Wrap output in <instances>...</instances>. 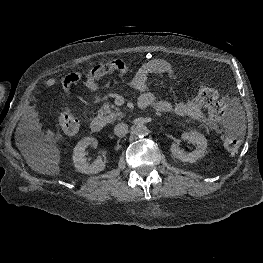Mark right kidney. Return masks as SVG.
<instances>
[{"mask_svg": "<svg viewBox=\"0 0 263 263\" xmlns=\"http://www.w3.org/2000/svg\"><path fill=\"white\" fill-rule=\"evenodd\" d=\"M97 140L93 137H85L81 139L73 150V163L77 171L84 174H96L105 169V162L95 160L89 164L86 159L85 149L89 145L97 146Z\"/></svg>", "mask_w": 263, "mask_h": 263, "instance_id": "right-kidney-1", "label": "right kidney"}]
</instances>
